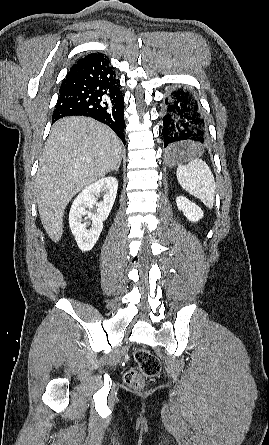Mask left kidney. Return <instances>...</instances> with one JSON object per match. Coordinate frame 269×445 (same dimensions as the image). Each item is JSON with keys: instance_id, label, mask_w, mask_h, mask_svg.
<instances>
[{"instance_id": "5707ae66", "label": "left kidney", "mask_w": 269, "mask_h": 445, "mask_svg": "<svg viewBox=\"0 0 269 445\" xmlns=\"http://www.w3.org/2000/svg\"><path fill=\"white\" fill-rule=\"evenodd\" d=\"M177 207L191 222H197L203 217V211L196 204L183 196L176 198Z\"/></svg>"}]
</instances>
